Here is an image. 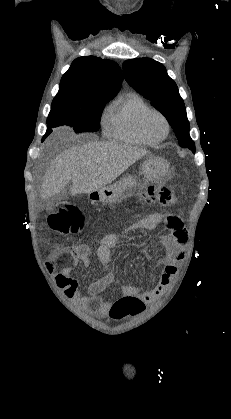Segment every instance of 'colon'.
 I'll use <instances>...</instances> for the list:
<instances>
[{
  "label": "colon",
  "mask_w": 231,
  "mask_h": 419,
  "mask_svg": "<svg viewBox=\"0 0 231 419\" xmlns=\"http://www.w3.org/2000/svg\"><path fill=\"white\" fill-rule=\"evenodd\" d=\"M140 197L146 205L158 203L164 207H173L177 204V196L169 186L150 185L141 191ZM49 223L58 233H75L81 226V212L72 205L62 207L49 216ZM51 261L56 263V258ZM144 308L145 304L139 297L123 296L112 305L109 315L114 320H121L141 313Z\"/></svg>",
  "instance_id": "5ec220e1"
}]
</instances>
